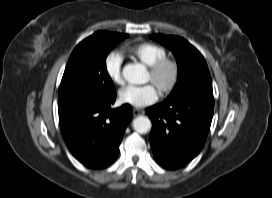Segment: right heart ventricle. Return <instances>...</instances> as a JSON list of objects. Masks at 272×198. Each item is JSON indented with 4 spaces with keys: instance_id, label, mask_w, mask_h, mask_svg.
I'll list each match as a JSON object with an SVG mask.
<instances>
[{
    "instance_id": "1",
    "label": "right heart ventricle",
    "mask_w": 272,
    "mask_h": 198,
    "mask_svg": "<svg viewBox=\"0 0 272 198\" xmlns=\"http://www.w3.org/2000/svg\"><path fill=\"white\" fill-rule=\"evenodd\" d=\"M126 50L130 55L147 66H151L167 55L166 50L162 46L147 41L130 45Z\"/></svg>"
}]
</instances>
